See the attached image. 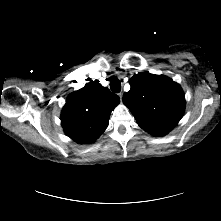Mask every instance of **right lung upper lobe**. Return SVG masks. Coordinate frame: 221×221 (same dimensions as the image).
<instances>
[{"label":"right lung upper lobe","mask_w":221,"mask_h":221,"mask_svg":"<svg viewBox=\"0 0 221 221\" xmlns=\"http://www.w3.org/2000/svg\"><path fill=\"white\" fill-rule=\"evenodd\" d=\"M94 81L73 92L61 112L65 133L80 144L94 142L107 128L111 111L120 98Z\"/></svg>","instance_id":"cb5924a9"}]
</instances>
